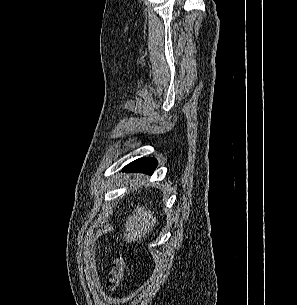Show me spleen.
<instances>
[{"label": "spleen", "mask_w": 297, "mask_h": 305, "mask_svg": "<svg viewBox=\"0 0 297 305\" xmlns=\"http://www.w3.org/2000/svg\"><path fill=\"white\" fill-rule=\"evenodd\" d=\"M154 212L147 210L144 206H137L134 209L133 215H129L125 226L124 237L128 242L141 240L152 230L157 222Z\"/></svg>", "instance_id": "3e777b00"}]
</instances>
